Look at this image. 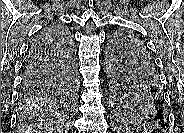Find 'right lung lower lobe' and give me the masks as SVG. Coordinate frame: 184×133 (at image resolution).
I'll list each match as a JSON object with an SVG mask.
<instances>
[{
  "mask_svg": "<svg viewBox=\"0 0 184 133\" xmlns=\"http://www.w3.org/2000/svg\"><path fill=\"white\" fill-rule=\"evenodd\" d=\"M68 47L53 25L39 33L23 64L19 103L37 104L52 99L65 74Z\"/></svg>",
  "mask_w": 184,
  "mask_h": 133,
  "instance_id": "98d812e1",
  "label": "right lung lower lobe"
}]
</instances>
